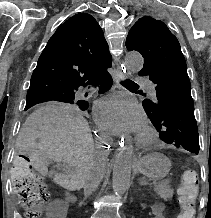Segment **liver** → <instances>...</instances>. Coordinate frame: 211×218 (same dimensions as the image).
Returning a JSON list of instances; mask_svg holds the SVG:
<instances>
[{"instance_id":"obj_1","label":"liver","mask_w":211,"mask_h":218,"mask_svg":"<svg viewBox=\"0 0 211 218\" xmlns=\"http://www.w3.org/2000/svg\"><path fill=\"white\" fill-rule=\"evenodd\" d=\"M17 148L31 160L33 168L46 176L47 162H66L74 168L73 176L55 174L53 182L70 190L81 186L84 176L97 168L104 174L105 160L94 148L89 124L81 112L68 104H48L35 110L24 122L17 138Z\"/></svg>"}]
</instances>
